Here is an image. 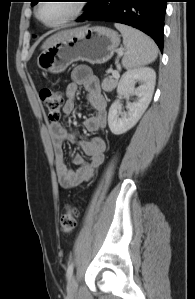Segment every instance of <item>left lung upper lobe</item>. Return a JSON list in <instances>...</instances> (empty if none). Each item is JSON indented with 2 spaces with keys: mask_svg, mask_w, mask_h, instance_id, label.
Wrapping results in <instances>:
<instances>
[{
  "mask_svg": "<svg viewBox=\"0 0 195 299\" xmlns=\"http://www.w3.org/2000/svg\"><path fill=\"white\" fill-rule=\"evenodd\" d=\"M30 1H31V5H35L38 2V0H30Z\"/></svg>",
  "mask_w": 195,
  "mask_h": 299,
  "instance_id": "1",
  "label": "left lung upper lobe"
}]
</instances>
